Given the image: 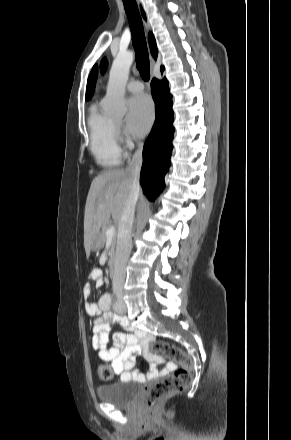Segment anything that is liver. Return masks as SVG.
I'll return each mask as SVG.
<instances>
[{
  "label": "liver",
  "instance_id": "6515ba94",
  "mask_svg": "<svg viewBox=\"0 0 291 440\" xmlns=\"http://www.w3.org/2000/svg\"><path fill=\"white\" fill-rule=\"evenodd\" d=\"M130 187V175L123 169L109 170L93 179L84 216V247L87 255L98 240L103 223L108 221L110 216L119 223Z\"/></svg>",
  "mask_w": 291,
  "mask_h": 440
}]
</instances>
